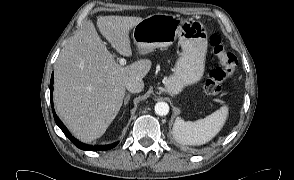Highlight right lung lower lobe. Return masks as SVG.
I'll return each mask as SVG.
<instances>
[{"label":"right lung lower lobe","instance_id":"right-lung-lower-lobe-1","mask_svg":"<svg viewBox=\"0 0 294 180\" xmlns=\"http://www.w3.org/2000/svg\"><path fill=\"white\" fill-rule=\"evenodd\" d=\"M53 80H54V76L52 73L51 81H50V100H51V103H52V95H53ZM52 111H53V113H55L54 108H52ZM54 119H55L56 124L60 127V129L63 131V133L72 141V143L82 150H89V151L108 150V149H111L117 145V143H114L111 145H104V146H92V145L83 144V143L79 142L78 140H76L68 132V130L66 129V127L63 125V123L60 121V119L57 117L56 114H54Z\"/></svg>","mask_w":294,"mask_h":180}]
</instances>
